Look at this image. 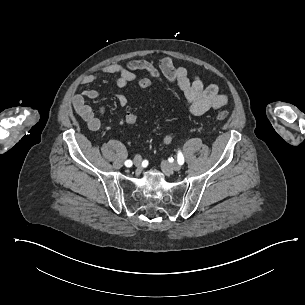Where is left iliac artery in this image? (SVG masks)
<instances>
[{"mask_svg":"<svg viewBox=\"0 0 305 305\" xmlns=\"http://www.w3.org/2000/svg\"><path fill=\"white\" fill-rule=\"evenodd\" d=\"M178 163L182 165L184 163V157L181 152L178 153Z\"/></svg>","mask_w":305,"mask_h":305,"instance_id":"obj_1","label":"left iliac artery"}]
</instances>
